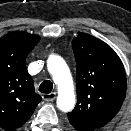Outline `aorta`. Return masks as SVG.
<instances>
[{"mask_svg":"<svg viewBox=\"0 0 131 131\" xmlns=\"http://www.w3.org/2000/svg\"><path fill=\"white\" fill-rule=\"evenodd\" d=\"M49 73L58 87L57 107L64 112L71 111L75 105L73 79L66 62L56 55L47 61Z\"/></svg>","mask_w":131,"mask_h":131,"instance_id":"1","label":"aorta"}]
</instances>
